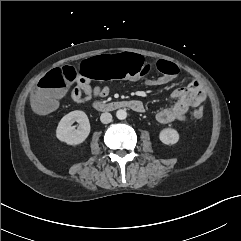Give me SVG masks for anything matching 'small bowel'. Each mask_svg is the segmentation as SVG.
Wrapping results in <instances>:
<instances>
[{
  "label": "small bowel",
  "mask_w": 241,
  "mask_h": 241,
  "mask_svg": "<svg viewBox=\"0 0 241 241\" xmlns=\"http://www.w3.org/2000/svg\"><path fill=\"white\" fill-rule=\"evenodd\" d=\"M173 77L164 75L156 79L148 80V84L152 86L165 85L170 82ZM109 89L103 86L92 87L89 79L79 77L77 85L71 90V98L78 103H85L92 99L107 96ZM174 101L173 105L159 110L155 117L159 123L167 124L174 121H185L187 112L190 108L199 107L206 99V93L203 84L198 80L191 81L184 87H179L171 93ZM134 110L143 111L144 106L139 100H132Z\"/></svg>",
  "instance_id": "1"
}]
</instances>
